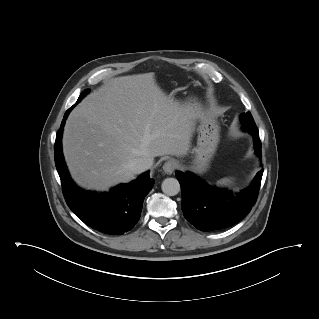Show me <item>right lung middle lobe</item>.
<instances>
[{
	"mask_svg": "<svg viewBox=\"0 0 319 319\" xmlns=\"http://www.w3.org/2000/svg\"><path fill=\"white\" fill-rule=\"evenodd\" d=\"M88 92H89V90H85L84 92H82V93L80 94V96H79V98H78L77 101H80V100L83 98V96H84L85 94H87Z\"/></svg>",
	"mask_w": 319,
	"mask_h": 319,
	"instance_id": "dd1d6c3e",
	"label": "right lung middle lobe"
}]
</instances>
